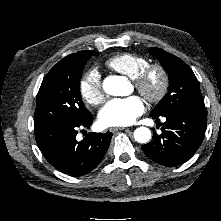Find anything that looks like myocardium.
Wrapping results in <instances>:
<instances>
[{
	"label": "myocardium",
	"instance_id": "obj_1",
	"mask_svg": "<svg viewBox=\"0 0 221 221\" xmlns=\"http://www.w3.org/2000/svg\"><path fill=\"white\" fill-rule=\"evenodd\" d=\"M158 78L156 89L151 88L152 78ZM136 89L150 103L160 102L168 93L170 78L167 70L159 63L147 65L134 79Z\"/></svg>",
	"mask_w": 221,
	"mask_h": 221
}]
</instances>
